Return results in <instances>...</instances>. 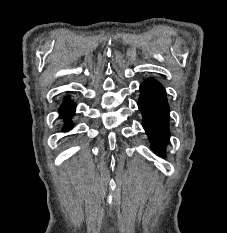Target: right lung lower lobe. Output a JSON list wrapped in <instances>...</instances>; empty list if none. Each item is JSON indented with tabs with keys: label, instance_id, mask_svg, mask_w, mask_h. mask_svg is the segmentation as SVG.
I'll list each match as a JSON object with an SVG mask.
<instances>
[{
	"label": "right lung lower lobe",
	"instance_id": "98d812e1",
	"mask_svg": "<svg viewBox=\"0 0 227 233\" xmlns=\"http://www.w3.org/2000/svg\"><path fill=\"white\" fill-rule=\"evenodd\" d=\"M75 105L70 101L69 98L64 99V103L61 105L59 112L65 120L63 131H68L72 128L70 124L71 116L74 114Z\"/></svg>",
	"mask_w": 227,
	"mask_h": 233
}]
</instances>
